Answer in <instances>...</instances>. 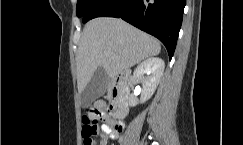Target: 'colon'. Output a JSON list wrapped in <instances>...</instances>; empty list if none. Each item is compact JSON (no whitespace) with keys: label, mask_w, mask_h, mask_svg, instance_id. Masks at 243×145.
<instances>
[{"label":"colon","mask_w":243,"mask_h":145,"mask_svg":"<svg viewBox=\"0 0 243 145\" xmlns=\"http://www.w3.org/2000/svg\"><path fill=\"white\" fill-rule=\"evenodd\" d=\"M101 111L98 108H92L86 115L83 116V131L82 135L84 138L85 145H93V137L98 132L99 121L101 120ZM116 131H121L122 126L114 123L112 125Z\"/></svg>","instance_id":"colon-1"}]
</instances>
